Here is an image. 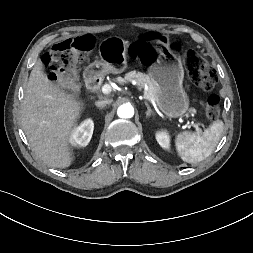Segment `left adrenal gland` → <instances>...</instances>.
<instances>
[{
    "label": "left adrenal gland",
    "mask_w": 253,
    "mask_h": 253,
    "mask_svg": "<svg viewBox=\"0 0 253 253\" xmlns=\"http://www.w3.org/2000/svg\"><path fill=\"white\" fill-rule=\"evenodd\" d=\"M145 105L147 107L146 118H149L151 115H153V111L151 110V107L147 102H145Z\"/></svg>",
    "instance_id": "obj_1"
}]
</instances>
